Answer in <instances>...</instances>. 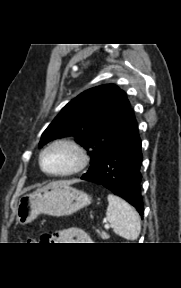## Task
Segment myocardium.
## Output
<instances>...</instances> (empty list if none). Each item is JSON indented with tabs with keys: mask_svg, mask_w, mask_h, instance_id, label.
Segmentation results:
<instances>
[{
	"mask_svg": "<svg viewBox=\"0 0 181 288\" xmlns=\"http://www.w3.org/2000/svg\"><path fill=\"white\" fill-rule=\"evenodd\" d=\"M54 147H65L73 151V153L76 156V163L71 169L64 172H50L45 168L44 156L50 149ZM87 163H88V155L85 149L82 147L80 143H78L76 140L72 138H59L50 142L48 145L44 147L39 156V165L41 170L45 174L52 177H68L75 175L80 171H82L86 167Z\"/></svg>",
	"mask_w": 181,
	"mask_h": 288,
	"instance_id": "myocardium-1",
	"label": "myocardium"
}]
</instances>
